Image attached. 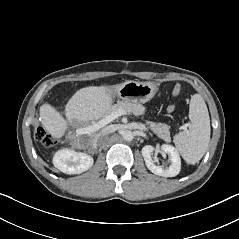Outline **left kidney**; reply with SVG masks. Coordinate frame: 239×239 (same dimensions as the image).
<instances>
[{
  "instance_id": "1",
  "label": "left kidney",
  "mask_w": 239,
  "mask_h": 239,
  "mask_svg": "<svg viewBox=\"0 0 239 239\" xmlns=\"http://www.w3.org/2000/svg\"><path fill=\"white\" fill-rule=\"evenodd\" d=\"M154 149L151 145H146L142 148L141 152L147 168L152 173L163 177H174L178 175L181 170V160L178 151L172 145L164 144L161 146V150L169 155L171 161V165L164 168L154 163L152 159Z\"/></svg>"
}]
</instances>
